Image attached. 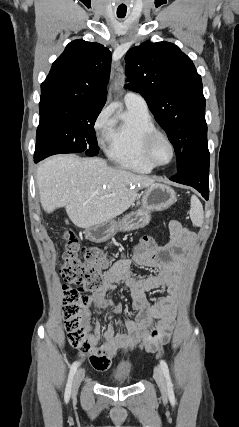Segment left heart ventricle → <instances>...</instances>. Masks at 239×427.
<instances>
[{
    "label": "left heart ventricle",
    "instance_id": "1",
    "mask_svg": "<svg viewBox=\"0 0 239 427\" xmlns=\"http://www.w3.org/2000/svg\"><path fill=\"white\" fill-rule=\"evenodd\" d=\"M152 155L154 160L158 163L167 162L171 156V150L168 143L163 139H159L153 147Z\"/></svg>",
    "mask_w": 239,
    "mask_h": 427
}]
</instances>
